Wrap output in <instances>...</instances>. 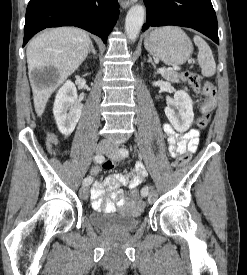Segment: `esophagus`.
Here are the masks:
<instances>
[{"instance_id": "34e87169", "label": "esophagus", "mask_w": 247, "mask_h": 275, "mask_svg": "<svg viewBox=\"0 0 247 275\" xmlns=\"http://www.w3.org/2000/svg\"><path fill=\"white\" fill-rule=\"evenodd\" d=\"M122 8H128L132 4V0H119Z\"/></svg>"}]
</instances>
